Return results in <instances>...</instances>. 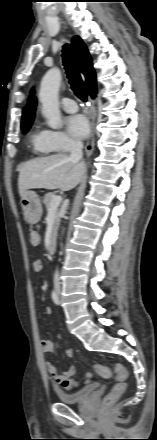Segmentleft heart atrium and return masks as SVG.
Returning a JSON list of instances; mask_svg holds the SVG:
<instances>
[{
  "label": "left heart atrium",
  "instance_id": "1",
  "mask_svg": "<svg viewBox=\"0 0 157 440\" xmlns=\"http://www.w3.org/2000/svg\"><path fill=\"white\" fill-rule=\"evenodd\" d=\"M68 132L77 139H85L90 133L88 120L82 115H72L66 118Z\"/></svg>",
  "mask_w": 157,
  "mask_h": 440
}]
</instances>
